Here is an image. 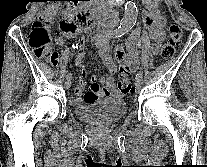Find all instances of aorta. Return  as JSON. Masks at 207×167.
<instances>
[{
    "label": "aorta",
    "mask_w": 207,
    "mask_h": 167,
    "mask_svg": "<svg viewBox=\"0 0 207 167\" xmlns=\"http://www.w3.org/2000/svg\"><path fill=\"white\" fill-rule=\"evenodd\" d=\"M137 9L135 4L129 0L125 5V15L120 22L118 27L119 33H125L130 30L136 23Z\"/></svg>",
    "instance_id": "obj_1"
}]
</instances>
